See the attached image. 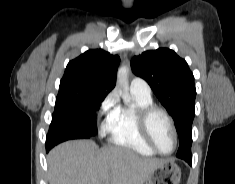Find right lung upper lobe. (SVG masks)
Returning <instances> with one entry per match:
<instances>
[{
	"mask_svg": "<svg viewBox=\"0 0 235 184\" xmlns=\"http://www.w3.org/2000/svg\"><path fill=\"white\" fill-rule=\"evenodd\" d=\"M119 63L118 55H111L101 49L88 50L68 63L59 91L97 88L107 95L115 87Z\"/></svg>",
	"mask_w": 235,
	"mask_h": 184,
	"instance_id": "right-lung-upper-lobe-1",
	"label": "right lung upper lobe"
}]
</instances>
